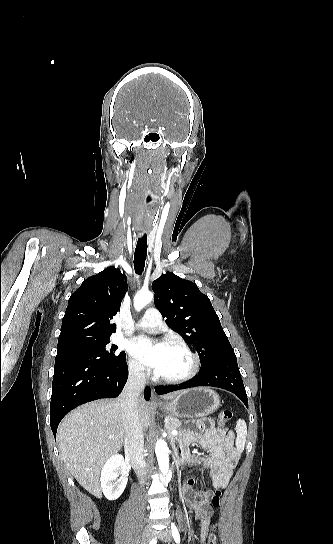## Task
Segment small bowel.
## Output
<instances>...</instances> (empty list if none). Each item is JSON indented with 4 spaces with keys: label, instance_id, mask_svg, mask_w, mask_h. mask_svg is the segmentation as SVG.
Listing matches in <instances>:
<instances>
[{
    "label": "small bowel",
    "instance_id": "1",
    "mask_svg": "<svg viewBox=\"0 0 333 544\" xmlns=\"http://www.w3.org/2000/svg\"><path fill=\"white\" fill-rule=\"evenodd\" d=\"M193 424L194 428L185 430L175 444L178 456L190 467L207 472L212 487L225 488L240 459V451L234 445L235 435L232 431L216 429L209 418L195 420ZM190 444H197L203 452L192 453L185 449ZM211 495L209 489L197 490L195 478L191 473L186 474L183 496L200 522L202 544L213 515V508L209 504Z\"/></svg>",
    "mask_w": 333,
    "mask_h": 544
}]
</instances>
